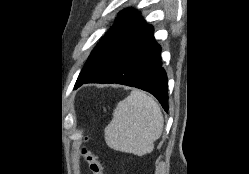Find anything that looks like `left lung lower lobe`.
<instances>
[{"label": "left lung lower lobe", "instance_id": "1", "mask_svg": "<svg viewBox=\"0 0 249 174\" xmlns=\"http://www.w3.org/2000/svg\"><path fill=\"white\" fill-rule=\"evenodd\" d=\"M161 47L147 25L126 41L109 62L89 78H79L75 89L84 83H118L154 95L168 111V80L161 65Z\"/></svg>", "mask_w": 249, "mask_h": 174}]
</instances>
